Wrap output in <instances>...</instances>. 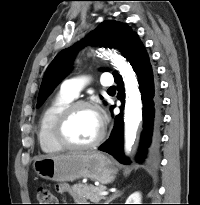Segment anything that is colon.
Returning <instances> with one entry per match:
<instances>
[{
  "instance_id": "obj_1",
  "label": "colon",
  "mask_w": 200,
  "mask_h": 205,
  "mask_svg": "<svg viewBox=\"0 0 200 205\" xmlns=\"http://www.w3.org/2000/svg\"><path fill=\"white\" fill-rule=\"evenodd\" d=\"M36 197L40 203L38 205H56V198L51 190L47 187H38L36 190Z\"/></svg>"
}]
</instances>
